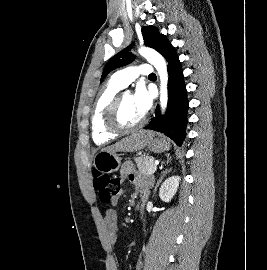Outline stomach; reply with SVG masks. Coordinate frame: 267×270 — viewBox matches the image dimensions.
Here are the masks:
<instances>
[{"mask_svg": "<svg viewBox=\"0 0 267 270\" xmlns=\"http://www.w3.org/2000/svg\"><path fill=\"white\" fill-rule=\"evenodd\" d=\"M150 151L160 153L170 149V144L164 139L154 138L150 136L146 144ZM121 156L117 152H109L101 150L98 152L93 160V165L96 170L103 173H112L119 169L121 166Z\"/></svg>", "mask_w": 267, "mask_h": 270, "instance_id": "0dacf381", "label": "stomach"}]
</instances>
